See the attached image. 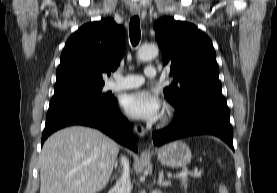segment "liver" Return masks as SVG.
Instances as JSON below:
<instances>
[{
    "mask_svg": "<svg viewBox=\"0 0 277 193\" xmlns=\"http://www.w3.org/2000/svg\"><path fill=\"white\" fill-rule=\"evenodd\" d=\"M119 145L102 132L73 126L51 135L40 160V193H96L108 183Z\"/></svg>",
    "mask_w": 277,
    "mask_h": 193,
    "instance_id": "6515ba94",
    "label": "liver"
}]
</instances>
